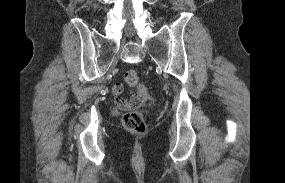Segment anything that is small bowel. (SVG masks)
Returning a JSON list of instances; mask_svg holds the SVG:
<instances>
[{
	"label": "small bowel",
	"instance_id": "c3829d8e",
	"mask_svg": "<svg viewBox=\"0 0 285 183\" xmlns=\"http://www.w3.org/2000/svg\"><path fill=\"white\" fill-rule=\"evenodd\" d=\"M112 93L115 96L116 104L120 108H128L129 102L126 97L123 96L124 86L121 83H116L112 87Z\"/></svg>",
	"mask_w": 285,
	"mask_h": 183
}]
</instances>
